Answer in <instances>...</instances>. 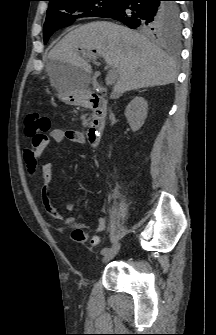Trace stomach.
I'll return each mask as SVG.
<instances>
[{
  "instance_id": "obj_1",
  "label": "stomach",
  "mask_w": 216,
  "mask_h": 335,
  "mask_svg": "<svg viewBox=\"0 0 216 335\" xmlns=\"http://www.w3.org/2000/svg\"><path fill=\"white\" fill-rule=\"evenodd\" d=\"M59 99L67 105H78L81 102L83 92L80 89H73L64 77L56 80Z\"/></svg>"
}]
</instances>
